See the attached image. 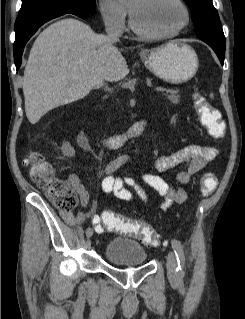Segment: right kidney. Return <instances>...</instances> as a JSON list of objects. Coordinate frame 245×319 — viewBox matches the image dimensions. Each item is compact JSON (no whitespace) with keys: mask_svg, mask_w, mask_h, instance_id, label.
<instances>
[{"mask_svg":"<svg viewBox=\"0 0 245 319\" xmlns=\"http://www.w3.org/2000/svg\"><path fill=\"white\" fill-rule=\"evenodd\" d=\"M61 150L65 156L73 157L75 155L74 148L68 142L63 143Z\"/></svg>","mask_w":245,"mask_h":319,"instance_id":"right-kidney-1","label":"right kidney"}]
</instances>
